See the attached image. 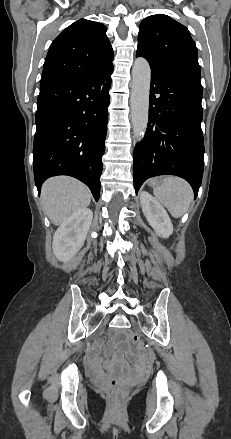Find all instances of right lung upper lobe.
I'll return each mask as SVG.
<instances>
[{
	"label": "right lung upper lobe",
	"instance_id": "obj_1",
	"mask_svg": "<svg viewBox=\"0 0 231 439\" xmlns=\"http://www.w3.org/2000/svg\"><path fill=\"white\" fill-rule=\"evenodd\" d=\"M113 57L106 27L102 23L80 19L52 42L40 88L87 78L112 64Z\"/></svg>",
	"mask_w": 231,
	"mask_h": 439
}]
</instances>
